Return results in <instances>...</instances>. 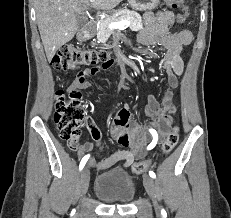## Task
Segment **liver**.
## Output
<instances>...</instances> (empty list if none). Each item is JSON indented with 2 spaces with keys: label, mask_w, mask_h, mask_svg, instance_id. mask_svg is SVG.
I'll return each instance as SVG.
<instances>
[{
  "label": "liver",
  "mask_w": 231,
  "mask_h": 218,
  "mask_svg": "<svg viewBox=\"0 0 231 218\" xmlns=\"http://www.w3.org/2000/svg\"><path fill=\"white\" fill-rule=\"evenodd\" d=\"M90 0H34L37 25L48 61L69 42L78 30V14ZM122 0H94L91 7L113 10Z\"/></svg>",
  "instance_id": "obj_1"
}]
</instances>
